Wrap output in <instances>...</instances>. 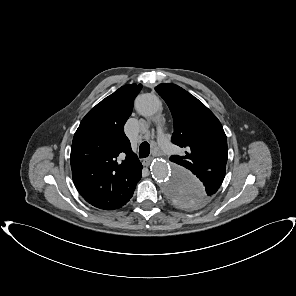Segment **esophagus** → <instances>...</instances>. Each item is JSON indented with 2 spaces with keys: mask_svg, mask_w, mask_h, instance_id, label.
Masks as SVG:
<instances>
[{
  "mask_svg": "<svg viewBox=\"0 0 296 296\" xmlns=\"http://www.w3.org/2000/svg\"><path fill=\"white\" fill-rule=\"evenodd\" d=\"M152 157H148V158H145L144 160H143V164L145 165V166H149L150 165V163L152 162Z\"/></svg>",
  "mask_w": 296,
  "mask_h": 296,
  "instance_id": "34e87169",
  "label": "esophagus"
}]
</instances>
